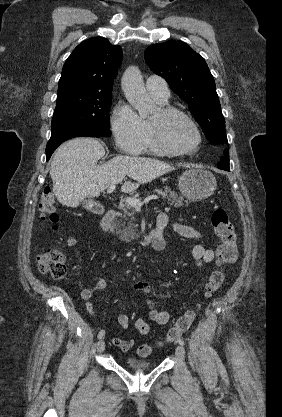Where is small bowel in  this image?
<instances>
[{"label": "small bowel", "mask_w": 282, "mask_h": 417, "mask_svg": "<svg viewBox=\"0 0 282 417\" xmlns=\"http://www.w3.org/2000/svg\"><path fill=\"white\" fill-rule=\"evenodd\" d=\"M169 224L168 215L165 212H161L157 216L156 227L155 229H160L162 234V240L156 241L155 245H159L162 241L165 243L164 236L166 228ZM154 229V230H155ZM172 231L186 239L201 241L203 239V233L196 229L193 226L182 224V223H173ZM69 245L75 243L74 238H70L68 241ZM155 249H158L154 246ZM192 255L195 261V264L198 267H201L205 263H210L216 259V253L214 250L205 247L203 244H197L194 246ZM216 262H219L218 259ZM108 286V281L105 278H98L95 283L87 288H84L81 291V298L86 301V310L88 314L92 317L95 316L94 306L91 302L92 296L99 291L106 289ZM130 289L138 292H142L145 295V303L149 309V320L139 318L134 322L135 329L137 332L146 336L150 332V322L165 326L171 322L172 316L168 311L159 310L156 306V301L169 300L172 298V293L168 291H163L154 288L146 281L138 280L130 284ZM182 318V316L180 317ZM119 324L124 328L128 329L130 326L129 318L125 314H120L118 316ZM112 344L117 346L121 351L127 352L132 349L136 341L134 338L124 339L118 335H115L111 339Z\"/></svg>", "instance_id": "c3829d8e"}]
</instances>
